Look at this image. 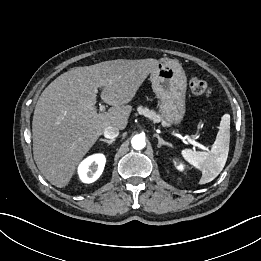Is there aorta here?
Here are the masks:
<instances>
[{
    "label": "aorta",
    "mask_w": 261,
    "mask_h": 261,
    "mask_svg": "<svg viewBox=\"0 0 261 261\" xmlns=\"http://www.w3.org/2000/svg\"><path fill=\"white\" fill-rule=\"evenodd\" d=\"M132 147L141 150L146 146L145 137L143 135H135L131 140Z\"/></svg>",
    "instance_id": "aorta-1"
}]
</instances>
